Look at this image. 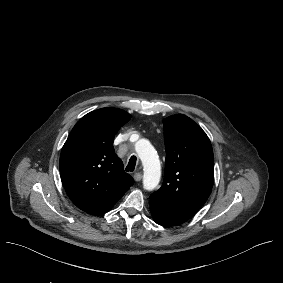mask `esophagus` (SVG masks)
<instances>
[{
    "label": "esophagus",
    "instance_id": "1",
    "mask_svg": "<svg viewBox=\"0 0 283 283\" xmlns=\"http://www.w3.org/2000/svg\"><path fill=\"white\" fill-rule=\"evenodd\" d=\"M143 175L140 172H136L133 176L135 181H140L142 179Z\"/></svg>",
    "mask_w": 283,
    "mask_h": 283
}]
</instances>
